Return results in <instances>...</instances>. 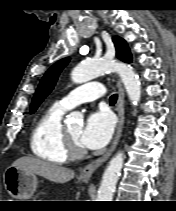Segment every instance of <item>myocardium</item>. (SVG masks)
I'll list each match as a JSON object with an SVG mask.
<instances>
[{
    "instance_id": "f54148a6",
    "label": "myocardium",
    "mask_w": 176,
    "mask_h": 211,
    "mask_svg": "<svg viewBox=\"0 0 176 211\" xmlns=\"http://www.w3.org/2000/svg\"><path fill=\"white\" fill-rule=\"evenodd\" d=\"M63 138L69 158L77 159L86 154V150L83 148V146H80L74 141L65 127H63Z\"/></svg>"
}]
</instances>
